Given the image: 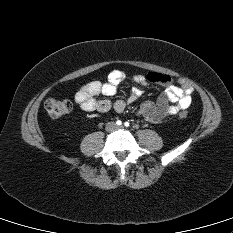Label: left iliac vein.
Wrapping results in <instances>:
<instances>
[{
	"mask_svg": "<svg viewBox=\"0 0 233 233\" xmlns=\"http://www.w3.org/2000/svg\"><path fill=\"white\" fill-rule=\"evenodd\" d=\"M119 129H121L122 128V126H120V127H118Z\"/></svg>",
	"mask_w": 233,
	"mask_h": 233,
	"instance_id": "left-iliac-vein-1",
	"label": "left iliac vein"
}]
</instances>
